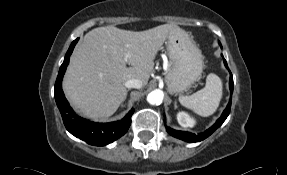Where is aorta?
Instances as JSON below:
<instances>
[{"mask_svg":"<svg viewBox=\"0 0 287 175\" xmlns=\"http://www.w3.org/2000/svg\"><path fill=\"white\" fill-rule=\"evenodd\" d=\"M163 98H164V93L163 91L159 89L153 90L147 95V101L151 105H158L162 103Z\"/></svg>","mask_w":287,"mask_h":175,"instance_id":"aorta-1","label":"aorta"}]
</instances>
